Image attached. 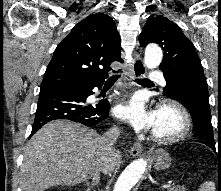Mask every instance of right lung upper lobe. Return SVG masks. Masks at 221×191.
Returning a JSON list of instances; mask_svg holds the SVG:
<instances>
[{
	"instance_id": "cb5924a9",
	"label": "right lung upper lobe",
	"mask_w": 221,
	"mask_h": 191,
	"mask_svg": "<svg viewBox=\"0 0 221 191\" xmlns=\"http://www.w3.org/2000/svg\"><path fill=\"white\" fill-rule=\"evenodd\" d=\"M119 44L111 17L103 13L89 15L57 46L40 88L94 86L104 82L110 64L122 62Z\"/></svg>"
}]
</instances>
